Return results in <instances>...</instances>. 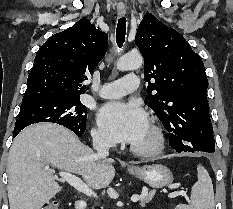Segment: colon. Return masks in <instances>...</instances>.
I'll return each mask as SVG.
<instances>
[{
    "instance_id": "obj_1",
    "label": "colon",
    "mask_w": 233,
    "mask_h": 209,
    "mask_svg": "<svg viewBox=\"0 0 233 209\" xmlns=\"http://www.w3.org/2000/svg\"><path fill=\"white\" fill-rule=\"evenodd\" d=\"M41 209H59L58 201H51L44 205Z\"/></svg>"
}]
</instances>
